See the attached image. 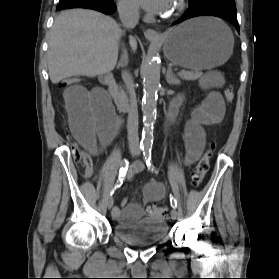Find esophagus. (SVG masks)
<instances>
[{"label": "esophagus", "mask_w": 279, "mask_h": 279, "mask_svg": "<svg viewBox=\"0 0 279 279\" xmlns=\"http://www.w3.org/2000/svg\"><path fill=\"white\" fill-rule=\"evenodd\" d=\"M144 35L148 40H151V41H156L160 38L159 33L156 30L151 29V28L146 29L144 31Z\"/></svg>", "instance_id": "obj_1"}]
</instances>
